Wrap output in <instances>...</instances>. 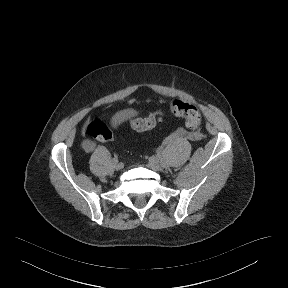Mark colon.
I'll return each instance as SVG.
<instances>
[{
    "instance_id": "1",
    "label": "colon",
    "mask_w": 288,
    "mask_h": 288,
    "mask_svg": "<svg viewBox=\"0 0 288 288\" xmlns=\"http://www.w3.org/2000/svg\"><path fill=\"white\" fill-rule=\"evenodd\" d=\"M171 111L184 119L189 129H197L201 122V112L194 104L182 100H173L170 102ZM161 119V111H152L146 118H136L129 122V127L134 131H145L154 126ZM87 133L93 139L100 143H107L113 139L110 129L100 121L92 122L87 126Z\"/></svg>"
}]
</instances>
